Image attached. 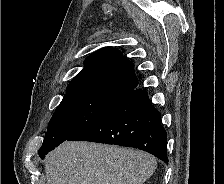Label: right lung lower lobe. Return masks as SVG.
Here are the masks:
<instances>
[{
	"label": "right lung lower lobe",
	"mask_w": 224,
	"mask_h": 184,
	"mask_svg": "<svg viewBox=\"0 0 224 184\" xmlns=\"http://www.w3.org/2000/svg\"><path fill=\"white\" fill-rule=\"evenodd\" d=\"M67 140L137 148L168 162L167 133L160 112L142 89H132L100 118ZM55 147L39 153L40 158L44 159Z\"/></svg>",
	"instance_id": "1"
}]
</instances>
